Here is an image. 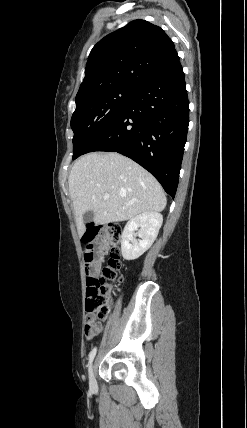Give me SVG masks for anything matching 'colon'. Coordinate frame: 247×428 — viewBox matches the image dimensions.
Masks as SVG:
<instances>
[{
  "label": "colon",
  "mask_w": 247,
  "mask_h": 428,
  "mask_svg": "<svg viewBox=\"0 0 247 428\" xmlns=\"http://www.w3.org/2000/svg\"><path fill=\"white\" fill-rule=\"evenodd\" d=\"M103 234L105 247L110 249V258L107 266L102 269L99 276L91 274L94 267L96 255L95 246L98 233ZM122 229L118 225L108 224L98 230L91 229L87 234H81V243H89L84 252L86 262V271L89 272L87 280V299H86V325L85 335H91L96 331L99 321L107 318L110 307L111 297L114 292V283L120 279V242Z\"/></svg>",
  "instance_id": "1"
}]
</instances>
